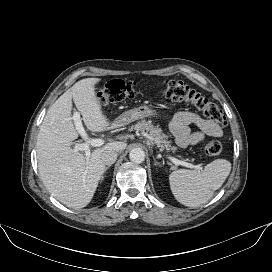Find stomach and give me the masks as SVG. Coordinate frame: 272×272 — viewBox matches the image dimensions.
I'll use <instances>...</instances> for the list:
<instances>
[{
	"mask_svg": "<svg viewBox=\"0 0 272 272\" xmlns=\"http://www.w3.org/2000/svg\"><path fill=\"white\" fill-rule=\"evenodd\" d=\"M157 115V110L152 106L142 105L138 108L122 113L115 121L116 127H121L138 119Z\"/></svg>",
	"mask_w": 272,
	"mask_h": 272,
	"instance_id": "obj_1",
	"label": "stomach"
}]
</instances>
